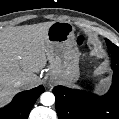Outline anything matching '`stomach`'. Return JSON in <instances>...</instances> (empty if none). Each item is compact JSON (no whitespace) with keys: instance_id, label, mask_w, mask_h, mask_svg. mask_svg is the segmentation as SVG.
Listing matches in <instances>:
<instances>
[{"instance_id":"1","label":"stomach","mask_w":119,"mask_h":119,"mask_svg":"<svg viewBox=\"0 0 119 119\" xmlns=\"http://www.w3.org/2000/svg\"><path fill=\"white\" fill-rule=\"evenodd\" d=\"M74 27L70 22L55 21L47 31L50 74L64 82H74L79 77V51Z\"/></svg>"}]
</instances>
